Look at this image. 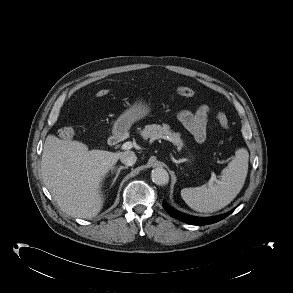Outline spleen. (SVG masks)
Returning <instances> with one entry per match:
<instances>
[{
	"mask_svg": "<svg viewBox=\"0 0 293 293\" xmlns=\"http://www.w3.org/2000/svg\"><path fill=\"white\" fill-rule=\"evenodd\" d=\"M248 161L247 149H237L216 184L209 182L207 186L184 188L181 197L189 207L199 212L209 213L224 208L241 191L248 173Z\"/></svg>",
	"mask_w": 293,
	"mask_h": 293,
	"instance_id": "3e777b00",
	"label": "spleen"
}]
</instances>
